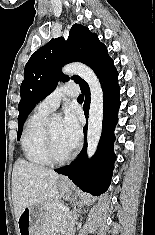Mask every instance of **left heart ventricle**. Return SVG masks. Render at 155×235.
Returning <instances> with one entry per match:
<instances>
[{
    "instance_id": "1",
    "label": "left heart ventricle",
    "mask_w": 155,
    "mask_h": 235,
    "mask_svg": "<svg viewBox=\"0 0 155 235\" xmlns=\"http://www.w3.org/2000/svg\"><path fill=\"white\" fill-rule=\"evenodd\" d=\"M54 151L57 156L63 157L71 152V150L64 143L61 136V123L55 122L49 125Z\"/></svg>"
}]
</instances>
